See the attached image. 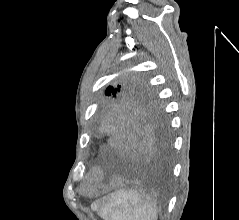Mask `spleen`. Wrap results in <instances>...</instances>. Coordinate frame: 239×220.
<instances>
[{"label":"spleen","instance_id":"3e777b00","mask_svg":"<svg viewBox=\"0 0 239 220\" xmlns=\"http://www.w3.org/2000/svg\"><path fill=\"white\" fill-rule=\"evenodd\" d=\"M104 220H157L154 201L135 190H117L100 199L93 207Z\"/></svg>","mask_w":239,"mask_h":220}]
</instances>
